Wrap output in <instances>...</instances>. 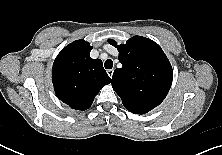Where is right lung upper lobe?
I'll return each instance as SVG.
<instances>
[{
	"instance_id": "cb5924a9",
	"label": "right lung upper lobe",
	"mask_w": 222,
	"mask_h": 155,
	"mask_svg": "<svg viewBox=\"0 0 222 155\" xmlns=\"http://www.w3.org/2000/svg\"><path fill=\"white\" fill-rule=\"evenodd\" d=\"M88 42L76 40L56 57L52 82L57 97L75 110L88 109L100 89L111 82L100 59H92Z\"/></svg>"
}]
</instances>
